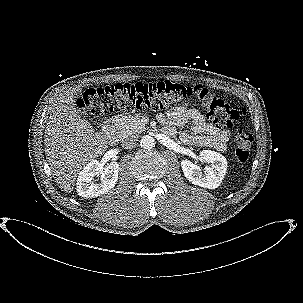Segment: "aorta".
I'll list each match as a JSON object with an SVG mask.
<instances>
[{
  "mask_svg": "<svg viewBox=\"0 0 303 303\" xmlns=\"http://www.w3.org/2000/svg\"><path fill=\"white\" fill-rule=\"evenodd\" d=\"M140 144L144 149H151L155 146V140L152 136L145 135L142 137Z\"/></svg>",
  "mask_w": 303,
  "mask_h": 303,
  "instance_id": "obj_1",
  "label": "aorta"
}]
</instances>
